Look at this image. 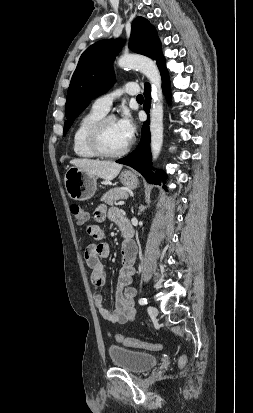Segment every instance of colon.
<instances>
[{"instance_id":"colon-1","label":"colon","mask_w":253,"mask_h":413,"mask_svg":"<svg viewBox=\"0 0 253 413\" xmlns=\"http://www.w3.org/2000/svg\"><path fill=\"white\" fill-rule=\"evenodd\" d=\"M70 212L77 224L82 225L87 221L86 212L78 204H72L70 206ZM115 338L118 342L128 347L145 349L149 351H161L163 349V346L161 344L149 343L134 338L124 337L122 335H116ZM180 363L181 365H184L186 363V358H181Z\"/></svg>"}]
</instances>
